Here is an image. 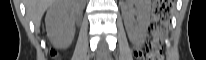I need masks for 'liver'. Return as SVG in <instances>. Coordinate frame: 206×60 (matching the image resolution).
<instances>
[{"mask_svg": "<svg viewBox=\"0 0 206 60\" xmlns=\"http://www.w3.org/2000/svg\"><path fill=\"white\" fill-rule=\"evenodd\" d=\"M66 0H25L28 17L33 21L35 27L40 26L41 18L48 7L54 4H64ZM76 1H72L75 3Z\"/></svg>", "mask_w": 206, "mask_h": 60, "instance_id": "liver-1", "label": "liver"}]
</instances>
